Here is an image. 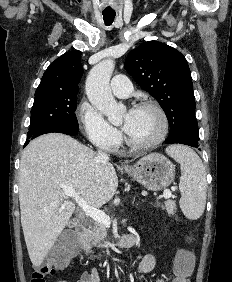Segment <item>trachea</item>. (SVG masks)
I'll return each instance as SVG.
<instances>
[{"label": "trachea", "mask_w": 232, "mask_h": 282, "mask_svg": "<svg viewBox=\"0 0 232 282\" xmlns=\"http://www.w3.org/2000/svg\"><path fill=\"white\" fill-rule=\"evenodd\" d=\"M116 13L115 12H104L103 19L105 25L109 26L113 23Z\"/></svg>", "instance_id": "trachea-1"}]
</instances>
